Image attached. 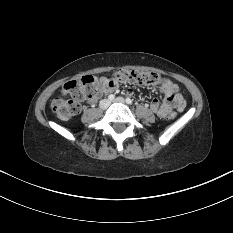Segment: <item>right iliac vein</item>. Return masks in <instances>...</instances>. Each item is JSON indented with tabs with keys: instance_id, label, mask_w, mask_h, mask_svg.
I'll list each match as a JSON object with an SVG mask.
<instances>
[{
	"instance_id": "obj_1",
	"label": "right iliac vein",
	"mask_w": 233,
	"mask_h": 233,
	"mask_svg": "<svg viewBox=\"0 0 233 233\" xmlns=\"http://www.w3.org/2000/svg\"><path fill=\"white\" fill-rule=\"evenodd\" d=\"M110 105V102L108 100H103L100 102V107L102 109H106Z\"/></svg>"
}]
</instances>
